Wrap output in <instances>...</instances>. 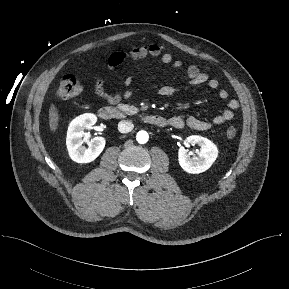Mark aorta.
<instances>
[{
    "instance_id": "1",
    "label": "aorta",
    "mask_w": 289,
    "mask_h": 289,
    "mask_svg": "<svg viewBox=\"0 0 289 289\" xmlns=\"http://www.w3.org/2000/svg\"><path fill=\"white\" fill-rule=\"evenodd\" d=\"M136 139L138 143L145 144L149 139V135L146 131L142 130L137 133Z\"/></svg>"
}]
</instances>
